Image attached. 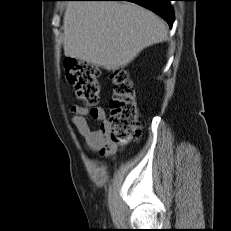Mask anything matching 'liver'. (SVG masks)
<instances>
[{"label":"liver","mask_w":231,"mask_h":231,"mask_svg":"<svg viewBox=\"0 0 231 231\" xmlns=\"http://www.w3.org/2000/svg\"><path fill=\"white\" fill-rule=\"evenodd\" d=\"M63 31L67 57L112 70L127 66L143 49L168 38L160 17L129 2H69Z\"/></svg>","instance_id":"6515ba94"}]
</instances>
